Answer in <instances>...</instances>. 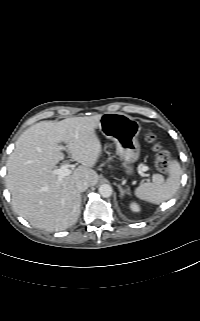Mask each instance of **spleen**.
<instances>
[{
    "label": "spleen",
    "mask_w": 200,
    "mask_h": 321,
    "mask_svg": "<svg viewBox=\"0 0 200 321\" xmlns=\"http://www.w3.org/2000/svg\"><path fill=\"white\" fill-rule=\"evenodd\" d=\"M168 172L169 176L166 180L161 175H155L153 183H141L134 191L135 196L157 205L171 199L179 188L182 175V169L176 159L169 161Z\"/></svg>",
    "instance_id": "obj_1"
}]
</instances>
